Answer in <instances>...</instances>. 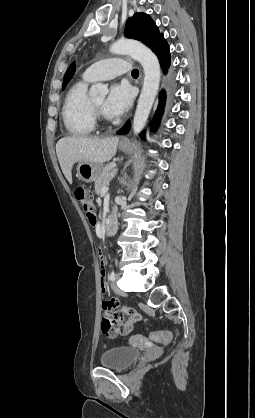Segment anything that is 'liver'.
<instances>
[{
    "label": "liver",
    "mask_w": 255,
    "mask_h": 418,
    "mask_svg": "<svg viewBox=\"0 0 255 418\" xmlns=\"http://www.w3.org/2000/svg\"><path fill=\"white\" fill-rule=\"evenodd\" d=\"M119 138L105 139L71 136L61 138L56 144V153L62 172L72 184V168L77 162L103 164L111 160L117 151Z\"/></svg>",
    "instance_id": "1"
}]
</instances>
